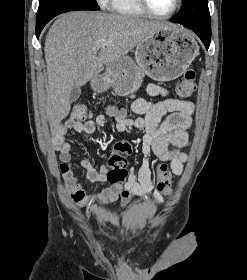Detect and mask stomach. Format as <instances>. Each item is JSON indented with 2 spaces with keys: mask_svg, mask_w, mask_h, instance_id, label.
<instances>
[{
  "mask_svg": "<svg viewBox=\"0 0 247 280\" xmlns=\"http://www.w3.org/2000/svg\"><path fill=\"white\" fill-rule=\"evenodd\" d=\"M199 54V46L186 29H160L141 41L135 50V61L123 56L110 63L102 76L91 81L95 91L111 88L116 95L127 96L139 89L144 74L156 81L179 77Z\"/></svg>",
  "mask_w": 247,
  "mask_h": 280,
  "instance_id": "0dacf381",
  "label": "stomach"
}]
</instances>
